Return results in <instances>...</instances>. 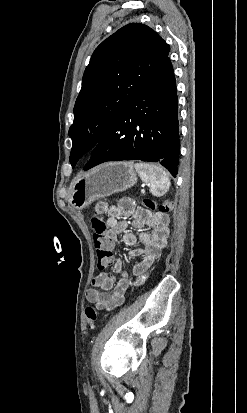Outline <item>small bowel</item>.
I'll use <instances>...</instances> for the list:
<instances>
[{
    "instance_id": "obj_1",
    "label": "small bowel",
    "mask_w": 247,
    "mask_h": 413,
    "mask_svg": "<svg viewBox=\"0 0 247 413\" xmlns=\"http://www.w3.org/2000/svg\"><path fill=\"white\" fill-rule=\"evenodd\" d=\"M95 211L108 214L106 234L109 239L123 234L124 244L133 246L139 242L143 246L130 252V257L135 260L131 271H126L123 260L118 258L112 266L117 279L106 271H100V275L93 278L92 287L86 292V300L99 310L110 311L123 303L129 287H138L149 277L156 259L167 244L169 218L137 210L133 202L125 204L124 200L111 206L100 201L95 205ZM129 226L140 229L139 235L127 231ZM145 228H150L151 232L144 231Z\"/></svg>"
}]
</instances>
